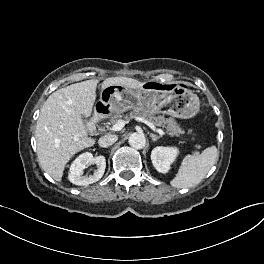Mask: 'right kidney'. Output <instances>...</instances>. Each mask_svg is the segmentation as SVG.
<instances>
[{
  "instance_id": "right-kidney-1",
  "label": "right kidney",
  "mask_w": 264,
  "mask_h": 264,
  "mask_svg": "<svg viewBox=\"0 0 264 264\" xmlns=\"http://www.w3.org/2000/svg\"><path fill=\"white\" fill-rule=\"evenodd\" d=\"M91 164L97 165V170L90 176H83V170ZM106 160L100 155L93 157L89 152L79 155L71 164L68 179L75 185H89L100 180L105 172Z\"/></svg>"
}]
</instances>
